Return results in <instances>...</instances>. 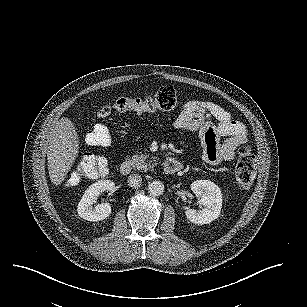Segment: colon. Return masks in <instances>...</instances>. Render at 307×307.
<instances>
[{"label": "colon", "mask_w": 307, "mask_h": 307, "mask_svg": "<svg viewBox=\"0 0 307 307\" xmlns=\"http://www.w3.org/2000/svg\"><path fill=\"white\" fill-rule=\"evenodd\" d=\"M178 102V96L174 88L162 87L156 92L144 97H119L111 104L101 107L98 111V116L105 117L112 111H168L175 108ZM87 142L92 146H109L111 144L109 129L103 124L96 125L88 134ZM107 168L108 161L106 158L91 153L86 154L72 168L65 182L67 185L73 186L86 179L94 178L99 174L105 173ZM235 175L238 184L243 189H249L254 183L256 176L255 157L252 148L247 144L242 145L238 150Z\"/></svg>", "instance_id": "colon-1"}]
</instances>
